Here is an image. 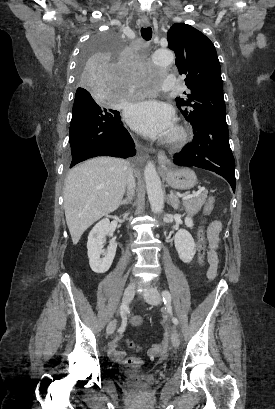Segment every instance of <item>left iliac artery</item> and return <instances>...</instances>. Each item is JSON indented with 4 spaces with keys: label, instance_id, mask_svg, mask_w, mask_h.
Instances as JSON below:
<instances>
[{
    "label": "left iliac artery",
    "instance_id": "1",
    "mask_svg": "<svg viewBox=\"0 0 275 409\" xmlns=\"http://www.w3.org/2000/svg\"><path fill=\"white\" fill-rule=\"evenodd\" d=\"M162 298L163 302L165 304V310L169 312L172 316V322L175 325H178V319L172 315V306H171V294L168 290H163L162 291Z\"/></svg>",
    "mask_w": 275,
    "mask_h": 409
}]
</instances>
